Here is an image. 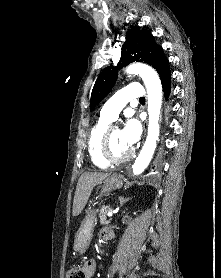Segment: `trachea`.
I'll list each match as a JSON object with an SVG mask.
<instances>
[{
	"label": "trachea",
	"mask_w": 221,
	"mask_h": 278,
	"mask_svg": "<svg viewBox=\"0 0 221 278\" xmlns=\"http://www.w3.org/2000/svg\"><path fill=\"white\" fill-rule=\"evenodd\" d=\"M139 101H145V98H144V97H142V98H140V99H139Z\"/></svg>",
	"instance_id": "obj_1"
}]
</instances>
